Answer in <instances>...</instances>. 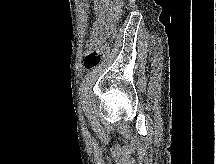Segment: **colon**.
Listing matches in <instances>:
<instances>
[{"label":"colon","mask_w":216,"mask_h":164,"mask_svg":"<svg viewBox=\"0 0 216 164\" xmlns=\"http://www.w3.org/2000/svg\"><path fill=\"white\" fill-rule=\"evenodd\" d=\"M106 53H107V47L105 44L101 42H99L97 46L89 49L84 58L85 68L87 70L95 69L101 63Z\"/></svg>","instance_id":"5ec220e1"}]
</instances>
